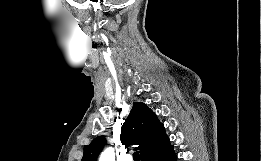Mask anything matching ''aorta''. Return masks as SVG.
<instances>
[{
    "label": "aorta",
    "mask_w": 261,
    "mask_h": 161,
    "mask_svg": "<svg viewBox=\"0 0 261 161\" xmlns=\"http://www.w3.org/2000/svg\"><path fill=\"white\" fill-rule=\"evenodd\" d=\"M99 161H115V153L112 148L105 149L99 158Z\"/></svg>",
    "instance_id": "762f6f07"
}]
</instances>
